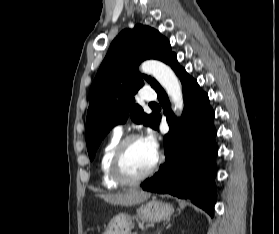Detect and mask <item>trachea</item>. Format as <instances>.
I'll return each instance as SVG.
<instances>
[{
    "instance_id": "3493384b",
    "label": "trachea",
    "mask_w": 279,
    "mask_h": 234,
    "mask_svg": "<svg viewBox=\"0 0 279 234\" xmlns=\"http://www.w3.org/2000/svg\"><path fill=\"white\" fill-rule=\"evenodd\" d=\"M149 105H150V106H151V105H156V103H155V102H153V103H150Z\"/></svg>"
}]
</instances>
